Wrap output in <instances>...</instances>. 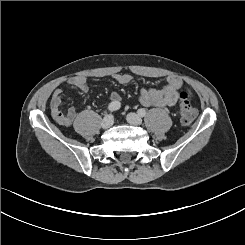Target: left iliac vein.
Segmentation results:
<instances>
[{
    "mask_svg": "<svg viewBox=\"0 0 245 245\" xmlns=\"http://www.w3.org/2000/svg\"><path fill=\"white\" fill-rule=\"evenodd\" d=\"M126 120L132 124V125H140L142 124V119L140 118V116L136 113H129L126 116Z\"/></svg>",
    "mask_w": 245,
    "mask_h": 245,
    "instance_id": "left-iliac-vein-1",
    "label": "left iliac vein"
}]
</instances>
